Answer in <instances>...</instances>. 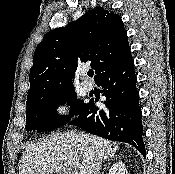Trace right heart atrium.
Here are the masks:
<instances>
[{"label":"right heart atrium","mask_w":175,"mask_h":174,"mask_svg":"<svg viewBox=\"0 0 175 174\" xmlns=\"http://www.w3.org/2000/svg\"><path fill=\"white\" fill-rule=\"evenodd\" d=\"M67 110L66 104L58 103L54 108V113L56 115H63Z\"/></svg>","instance_id":"obj_1"}]
</instances>
